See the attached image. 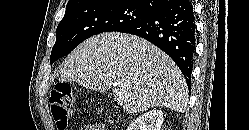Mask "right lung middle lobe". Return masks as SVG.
<instances>
[{"label": "right lung middle lobe", "mask_w": 249, "mask_h": 130, "mask_svg": "<svg viewBox=\"0 0 249 130\" xmlns=\"http://www.w3.org/2000/svg\"><path fill=\"white\" fill-rule=\"evenodd\" d=\"M155 11L130 0L98 1L67 10L56 30L50 63L68 55L87 38L125 29L149 18Z\"/></svg>", "instance_id": "1"}]
</instances>
